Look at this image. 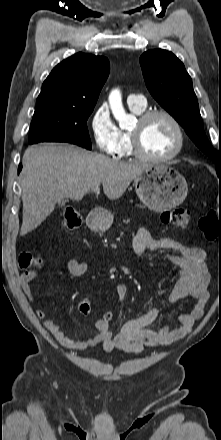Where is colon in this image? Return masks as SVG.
Returning <instances> with one entry per match:
<instances>
[{"label":"colon","mask_w":221,"mask_h":440,"mask_svg":"<svg viewBox=\"0 0 221 440\" xmlns=\"http://www.w3.org/2000/svg\"><path fill=\"white\" fill-rule=\"evenodd\" d=\"M161 220L164 224L174 226L177 228H185L190 220V212L183 207H176L165 210L161 214ZM64 227L67 230H76L82 225L81 215L74 209H66L63 218ZM199 227L208 240H214L219 233V222L211 214H207L199 221ZM39 263V261L29 252L21 253L19 257V265L26 269L30 266ZM91 302L88 299H83L78 304V310L82 315H87L91 312ZM103 321H112V312H103Z\"/></svg>","instance_id":"1"}]
</instances>
